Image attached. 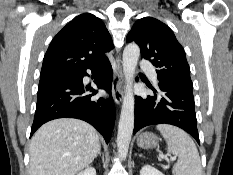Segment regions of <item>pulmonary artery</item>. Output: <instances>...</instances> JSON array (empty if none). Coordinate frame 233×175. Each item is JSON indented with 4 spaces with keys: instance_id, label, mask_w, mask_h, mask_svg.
Wrapping results in <instances>:
<instances>
[{
    "instance_id": "1",
    "label": "pulmonary artery",
    "mask_w": 233,
    "mask_h": 175,
    "mask_svg": "<svg viewBox=\"0 0 233 175\" xmlns=\"http://www.w3.org/2000/svg\"><path fill=\"white\" fill-rule=\"evenodd\" d=\"M140 66L142 69H144L150 76V78L154 81L157 82V74L155 69L152 67L151 63L148 61H141Z\"/></svg>"
}]
</instances>
